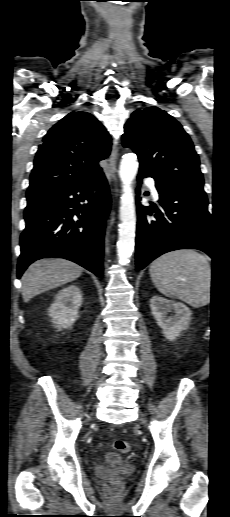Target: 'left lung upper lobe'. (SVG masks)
Segmentation results:
<instances>
[{"instance_id":"5c2ea615","label":"left lung upper lobe","mask_w":230,"mask_h":517,"mask_svg":"<svg viewBox=\"0 0 230 517\" xmlns=\"http://www.w3.org/2000/svg\"><path fill=\"white\" fill-rule=\"evenodd\" d=\"M122 144L138 156L139 171L179 187L203 188L199 157L178 121L157 107L138 109L124 127Z\"/></svg>"}]
</instances>
